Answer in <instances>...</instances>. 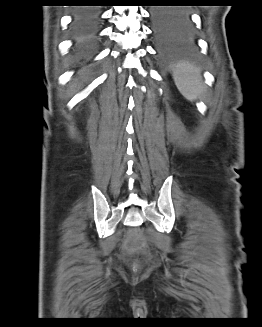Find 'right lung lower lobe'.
Returning <instances> with one entry per match:
<instances>
[{
  "label": "right lung lower lobe",
  "instance_id": "98d812e1",
  "mask_svg": "<svg viewBox=\"0 0 262 327\" xmlns=\"http://www.w3.org/2000/svg\"><path fill=\"white\" fill-rule=\"evenodd\" d=\"M101 13L97 8H81L74 12L72 30L74 38L82 42H93L100 30Z\"/></svg>",
  "mask_w": 262,
  "mask_h": 327
}]
</instances>
